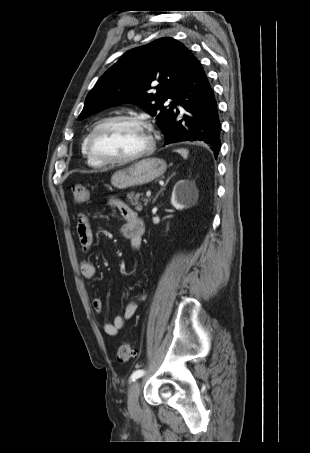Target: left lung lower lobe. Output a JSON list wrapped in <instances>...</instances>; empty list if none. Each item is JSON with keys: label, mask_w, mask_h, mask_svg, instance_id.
<instances>
[{"label": "left lung lower lobe", "mask_w": 310, "mask_h": 453, "mask_svg": "<svg viewBox=\"0 0 310 453\" xmlns=\"http://www.w3.org/2000/svg\"><path fill=\"white\" fill-rule=\"evenodd\" d=\"M177 104L186 111L181 120L177 119ZM161 130L165 136V144L181 141L204 142L210 146L214 156H218L221 147V123L217 102L205 71L193 55L187 75L173 102L172 114Z\"/></svg>", "instance_id": "obj_1"}]
</instances>
